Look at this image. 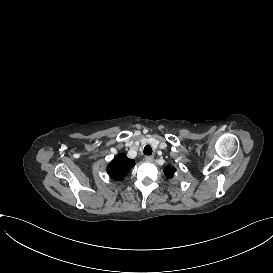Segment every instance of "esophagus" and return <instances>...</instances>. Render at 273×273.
<instances>
[{
  "label": "esophagus",
  "mask_w": 273,
  "mask_h": 273,
  "mask_svg": "<svg viewBox=\"0 0 273 273\" xmlns=\"http://www.w3.org/2000/svg\"><path fill=\"white\" fill-rule=\"evenodd\" d=\"M153 159H154V157H153L152 155H147V156H145V161H146V162H152Z\"/></svg>",
  "instance_id": "obj_1"
}]
</instances>
